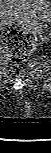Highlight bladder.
Returning <instances> with one entry per match:
<instances>
[{"mask_svg":"<svg viewBox=\"0 0 51 153\" xmlns=\"http://www.w3.org/2000/svg\"><path fill=\"white\" fill-rule=\"evenodd\" d=\"M0 12L23 21L46 23L51 18L49 0H0Z\"/></svg>","mask_w":51,"mask_h":153,"instance_id":"obj_1","label":"bladder"}]
</instances>
